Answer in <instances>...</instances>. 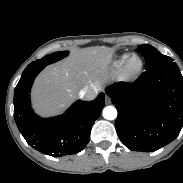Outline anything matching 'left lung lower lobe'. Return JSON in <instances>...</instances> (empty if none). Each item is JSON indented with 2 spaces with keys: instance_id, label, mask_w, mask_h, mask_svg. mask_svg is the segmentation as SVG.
Here are the masks:
<instances>
[{
  "instance_id": "1",
  "label": "left lung lower lobe",
  "mask_w": 183,
  "mask_h": 183,
  "mask_svg": "<svg viewBox=\"0 0 183 183\" xmlns=\"http://www.w3.org/2000/svg\"><path fill=\"white\" fill-rule=\"evenodd\" d=\"M118 110L116 132L130 150L153 152L183 127V76L176 63L146 70L135 82L106 89Z\"/></svg>"
}]
</instances>
